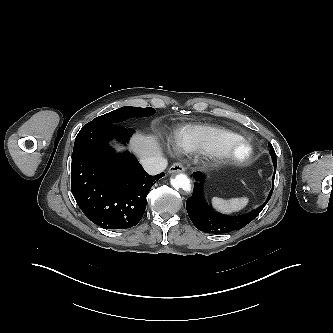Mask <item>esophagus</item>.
I'll return each mask as SVG.
<instances>
[{"mask_svg":"<svg viewBox=\"0 0 333 333\" xmlns=\"http://www.w3.org/2000/svg\"><path fill=\"white\" fill-rule=\"evenodd\" d=\"M185 171L184 166L181 163H174L173 165L170 166L168 169V173H182Z\"/></svg>","mask_w":333,"mask_h":333,"instance_id":"esophagus-1","label":"esophagus"}]
</instances>
